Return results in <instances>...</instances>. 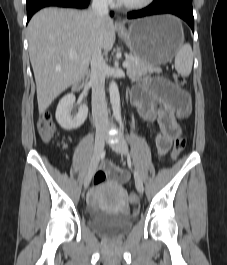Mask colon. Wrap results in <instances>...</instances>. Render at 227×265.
Instances as JSON below:
<instances>
[{
  "instance_id": "5ec220e1",
  "label": "colon",
  "mask_w": 227,
  "mask_h": 265,
  "mask_svg": "<svg viewBox=\"0 0 227 265\" xmlns=\"http://www.w3.org/2000/svg\"><path fill=\"white\" fill-rule=\"evenodd\" d=\"M173 80L179 86H183L186 83L185 76L178 74V73H175L173 75ZM38 132H39L41 139L45 142H49L54 138L55 133H56V126L52 120L50 113H44L40 117L38 121ZM186 145H187V141L183 136L177 137L173 145L171 159L172 160L178 159L180 154L186 148ZM105 180H106V172L103 170H100L96 173L94 177V184L99 185L103 183ZM130 200L134 204L138 202V198L135 194L130 195Z\"/></svg>"
}]
</instances>
